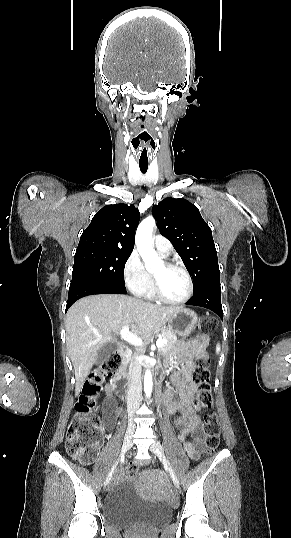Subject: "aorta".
Wrapping results in <instances>:
<instances>
[{"label": "aorta", "instance_id": "1", "mask_svg": "<svg viewBox=\"0 0 291 538\" xmlns=\"http://www.w3.org/2000/svg\"><path fill=\"white\" fill-rule=\"evenodd\" d=\"M155 226V219L152 216L146 217L138 226L136 232L137 250L142 257L148 271L163 266V260L154 251L152 246V232ZM153 388V378L150 369H146L144 375V392L150 398Z\"/></svg>", "mask_w": 291, "mask_h": 538}]
</instances>
